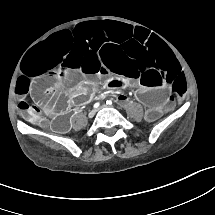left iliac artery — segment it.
Masks as SVG:
<instances>
[{
	"instance_id": "1",
	"label": "left iliac artery",
	"mask_w": 215,
	"mask_h": 215,
	"mask_svg": "<svg viewBox=\"0 0 215 215\" xmlns=\"http://www.w3.org/2000/svg\"><path fill=\"white\" fill-rule=\"evenodd\" d=\"M106 104L112 105V101H111V100H107V101H106Z\"/></svg>"
}]
</instances>
